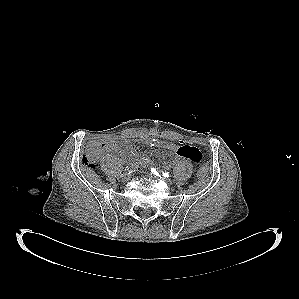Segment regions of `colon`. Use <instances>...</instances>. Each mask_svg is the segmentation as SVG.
Segmentation results:
<instances>
[{
    "label": "colon",
    "mask_w": 299,
    "mask_h": 299,
    "mask_svg": "<svg viewBox=\"0 0 299 299\" xmlns=\"http://www.w3.org/2000/svg\"><path fill=\"white\" fill-rule=\"evenodd\" d=\"M104 150V143L100 141L91 142L82 158V163L91 168H97L99 166V156ZM197 175L200 178H206L208 175V168L206 165H200Z\"/></svg>",
    "instance_id": "1"
}]
</instances>
